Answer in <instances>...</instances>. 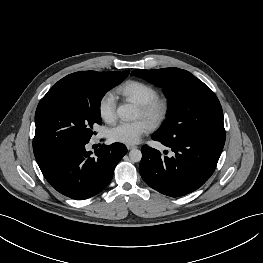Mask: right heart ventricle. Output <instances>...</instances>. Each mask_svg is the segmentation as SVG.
I'll use <instances>...</instances> for the list:
<instances>
[{"label":"right heart ventricle","instance_id":"e07e8e85","mask_svg":"<svg viewBox=\"0 0 263 263\" xmlns=\"http://www.w3.org/2000/svg\"><path fill=\"white\" fill-rule=\"evenodd\" d=\"M116 93L137 105L146 103L158 95L153 85L139 80L124 82L116 88Z\"/></svg>","mask_w":263,"mask_h":263}]
</instances>
